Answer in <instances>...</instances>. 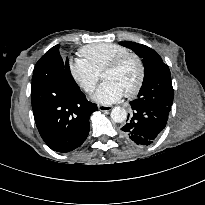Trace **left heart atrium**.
Returning a JSON list of instances; mask_svg holds the SVG:
<instances>
[{
  "mask_svg": "<svg viewBox=\"0 0 205 205\" xmlns=\"http://www.w3.org/2000/svg\"><path fill=\"white\" fill-rule=\"evenodd\" d=\"M124 95L123 89L112 81H104L96 90L93 99L99 103L111 104Z\"/></svg>",
  "mask_w": 205,
  "mask_h": 205,
  "instance_id": "obj_1",
  "label": "left heart atrium"
}]
</instances>
